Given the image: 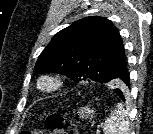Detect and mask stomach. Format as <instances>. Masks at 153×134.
<instances>
[{"label": "stomach", "instance_id": "stomach-1", "mask_svg": "<svg viewBox=\"0 0 153 134\" xmlns=\"http://www.w3.org/2000/svg\"><path fill=\"white\" fill-rule=\"evenodd\" d=\"M95 114V111L90 107H84L79 111V117L82 119H92Z\"/></svg>", "mask_w": 153, "mask_h": 134}]
</instances>
